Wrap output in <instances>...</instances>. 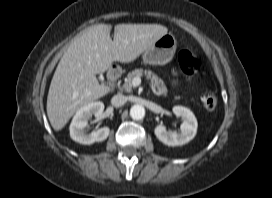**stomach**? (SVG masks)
Instances as JSON below:
<instances>
[{
    "label": "stomach",
    "instance_id": "stomach-1",
    "mask_svg": "<svg viewBox=\"0 0 272 198\" xmlns=\"http://www.w3.org/2000/svg\"><path fill=\"white\" fill-rule=\"evenodd\" d=\"M176 47V38L172 34H165L144 52L143 62L149 65H164L172 60Z\"/></svg>",
    "mask_w": 272,
    "mask_h": 198
}]
</instances>
